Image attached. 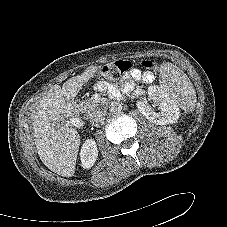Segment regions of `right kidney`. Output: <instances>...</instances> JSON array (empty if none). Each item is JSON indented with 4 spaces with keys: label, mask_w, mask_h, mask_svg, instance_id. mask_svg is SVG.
Returning a JSON list of instances; mask_svg holds the SVG:
<instances>
[{
    "label": "right kidney",
    "mask_w": 227,
    "mask_h": 227,
    "mask_svg": "<svg viewBox=\"0 0 227 227\" xmlns=\"http://www.w3.org/2000/svg\"><path fill=\"white\" fill-rule=\"evenodd\" d=\"M98 157V149L93 139H87L81 148L80 158L83 168H91Z\"/></svg>",
    "instance_id": "1"
}]
</instances>
